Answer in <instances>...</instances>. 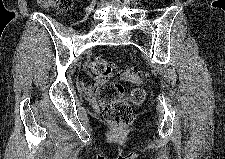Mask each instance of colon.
<instances>
[{
  "instance_id": "obj_1",
  "label": "colon",
  "mask_w": 225,
  "mask_h": 159,
  "mask_svg": "<svg viewBox=\"0 0 225 159\" xmlns=\"http://www.w3.org/2000/svg\"><path fill=\"white\" fill-rule=\"evenodd\" d=\"M44 6H53L65 13L72 6V0H40ZM116 68V63L104 57H96L92 62V72L97 80H107ZM124 81L141 84L147 74L127 68L120 73ZM146 92L143 88H135L126 97L124 87L117 82L106 83L99 94V100L105 120L115 126H124L131 122L133 112L131 105H140L145 101Z\"/></svg>"
}]
</instances>
